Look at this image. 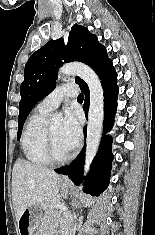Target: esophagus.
Instances as JSON below:
<instances>
[{
  "label": "esophagus",
  "mask_w": 155,
  "mask_h": 235,
  "mask_svg": "<svg viewBox=\"0 0 155 235\" xmlns=\"http://www.w3.org/2000/svg\"><path fill=\"white\" fill-rule=\"evenodd\" d=\"M61 180L66 182V181H68V177H67V176H63V177L61 178Z\"/></svg>",
  "instance_id": "esophagus-1"
}]
</instances>
